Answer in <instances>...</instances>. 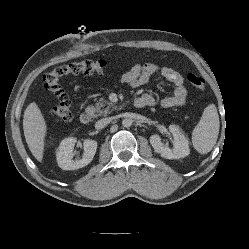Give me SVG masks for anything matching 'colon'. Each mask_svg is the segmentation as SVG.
<instances>
[{
  "mask_svg": "<svg viewBox=\"0 0 249 249\" xmlns=\"http://www.w3.org/2000/svg\"><path fill=\"white\" fill-rule=\"evenodd\" d=\"M109 66L110 64L105 60H83L64 64L47 72L44 76V87L57 101L56 105L51 109L53 119L64 122L72 119V103L60 84L62 78L79 74H102ZM187 80L200 90L206 87L205 80L193 73L187 75Z\"/></svg>",
  "mask_w": 249,
  "mask_h": 249,
  "instance_id": "obj_1",
  "label": "colon"
}]
</instances>
